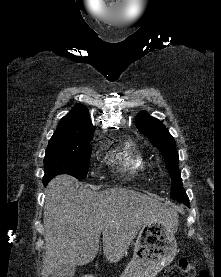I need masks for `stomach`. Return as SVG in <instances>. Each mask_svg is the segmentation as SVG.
I'll list each match as a JSON object with an SVG mask.
<instances>
[{
    "label": "stomach",
    "mask_w": 221,
    "mask_h": 277,
    "mask_svg": "<svg viewBox=\"0 0 221 277\" xmlns=\"http://www.w3.org/2000/svg\"><path fill=\"white\" fill-rule=\"evenodd\" d=\"M178 216L146 222L135 242L134 254L121 277H155L177 254Z\"/></svg>",
    "instance_id": "obj_1"
}]
</instances>
